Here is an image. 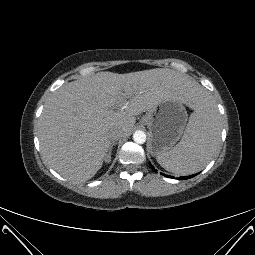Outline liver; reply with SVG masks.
I'll return each mask as SVG.
<instances>
[{
    "mask_svg": "<svg viewBox=\"0 0 255 255\" xmlns=\"http://www.w3.org/2000/svg\"><path fill=\"white\" fill-rule=\"evenodd\" d=\"M208 94L188 76L168 68L117 74L99 72L56 90L39 119V141L48 164L74 182L91 179L111 146V130L130 135L136 115L169 95L196 109ZM116 109V110H114Z\"/></svg>",
    "mask_w": 255,
    "mask_h": 255,
    "instance_id": "6515ba94",
    "label": "liver"
}]
</instances>
